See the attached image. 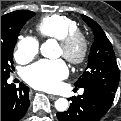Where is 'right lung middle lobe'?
<instances>
[{"label":"right lung middle lobe","mask_w":121,"mask_h":121,"mask_svg":"<svg viewBox=\"0 0 121 121\" xmlns=\"http://www.w3.org/2000/svg\"><path fill=\"white\" fill-rule=\"evenodd\" d=\"M34 15V12L25 11L21 16L1 24V77H9L12 72L13 50L18 34L26 21Z\"/></svg>","instance_id":"dd1d6c3e"}]
</instances>
